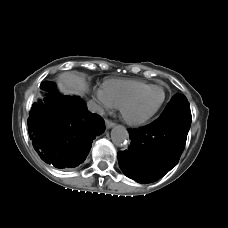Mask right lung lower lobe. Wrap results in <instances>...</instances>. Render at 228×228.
Masks as SVG:
<instances>
[{
    "label": "right lung lower lobe",
    "instance_id": "obj_1",
    "mask_svg": "<svg viewBox=\"0 0 228 228\" xmlns=\"http://www.w3.org/2000/svg\"><path fill=\"white\" fill-rule=\"evenodd\" d=\"M41 87L49 98L32 105L28 132L40 158L57 168L75 167L87 157L92 140L105 131L103 119L79 97L58 94L50 82Z\"/></svg>",
    "mask_w": 228,
    "mask_h": 228
}]
</instances>
